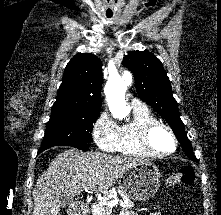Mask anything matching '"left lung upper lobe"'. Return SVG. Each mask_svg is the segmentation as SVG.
I'll return each mask as SVG.
<instances>
[{
    "label": "left lung upper lobe",
    "mask_w": 221,
    "mask_h": 215,
    "mask_svg": "<svg viewBox=\"0 0 221 215\" xmlns=\"http://www.w3.org/2000/svg\"><path fill=\"white\" fill-rule=\"evenodd\" d=\"M123 64L134 74L139 97L169 123L186 155L198 162L180 119L178 104L172 95L171 84L161 61L147 51H132L125 56Z\"/></svg>",
    "instance_id": "1"
}]
</instances>
